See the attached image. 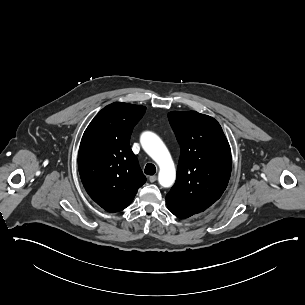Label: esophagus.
I'll use <instances>...</instances> for the list:
<instances>
[{
    "label": "esophagus",
    "instance_id": "1",
    "mask_svg": "<svg viewBox=\"0 0 305 305\" xmlns=\"http://www.w3.org/2000/svg\"><path fill=\"white\" fill-rule=\"evenodd\" d=\"M156 180H157V176H156V175H153V176H150V177H149V181H150L151 183L155 182Z\"/></svg>",
    "mask_w": 305,
    "mask_h": 305
}]
</instances>
